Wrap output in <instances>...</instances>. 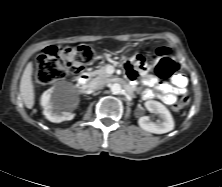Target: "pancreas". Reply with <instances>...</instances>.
I'll return each instance as SVG.
<instances>
[{"label":"pancreas","mask_w":222,"mask_h":187,"mask_svg":"<svg viewBox=\"0 0 222 187\" xmlns=\"http://www.w3.org/2000/svg\"><path fill=\"white\" fill-rule=\"evenodd\" d=\"M107 66L108 65L102 66L100 69L95 70L93 72V74L98 76V77L104 78V79L110 78L112 75L107 73V71H106Z\"/></svg>","instance_id":"obj_1"}]
</instances>
